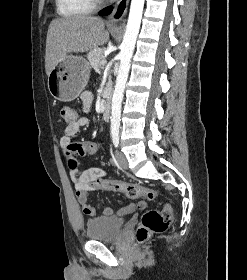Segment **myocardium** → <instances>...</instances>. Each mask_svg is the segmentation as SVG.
I'll use <instances>...</instances> for the list:
<instances>
[{
    "label": "myocardium",
    "instance_id": "obj_1",
    "mask_svg": "<svg viewBox=\"0 0 247 280\" xmlns=\"http://www.w3.org/2000/svg\"><path fill=\"white\" fill-rule=\"evenodd\" d=\"M93 4L101 3L103 0H91Z\"/></svg>",
    "mask_w": 247,
    "mask_h": 280
}]
</instances>
